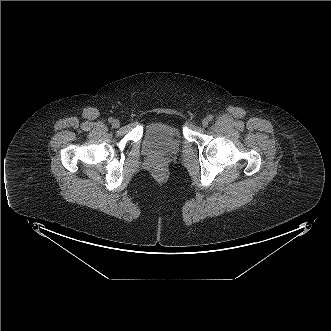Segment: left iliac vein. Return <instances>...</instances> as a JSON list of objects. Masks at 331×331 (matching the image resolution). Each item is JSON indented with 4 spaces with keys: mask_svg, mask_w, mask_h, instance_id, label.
<instances>
[{
    "mask_svg": "<svg viewBox=\"0 0 331 331\" xmlns=\"http://www.w3.org/2000/svg\"><path fill=\"white\" fill-rule=\"evenodd\" d=\"M208 124H209V120L207 118H205V119L202 120V126L203 127H207Z\"/></svg>",
    "mask_w": 331,
    "mask_h": 331,
    "instance_id": "obj_1",
    "label": "left iliac vein"
}]
</instances>
